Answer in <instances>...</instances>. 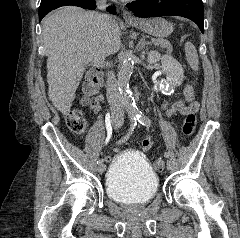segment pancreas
Here are the masks:
<instances>
[{
	"mask_svg": "<svg viewBox=\"0 0 240 238\" xmlns=\"http://www.w3.org/2000/svg\"><path fill=\"white\" fill-rule=\"evenodd\" d=\"M155 42L158 43L162 48L166 49V53L170 54L173 51L172 45L170 44L169 41L165 39H157Z\"/></svg>",
	"mask_w": 240,
	"mask_h": 238,
	"instance_id": "pancreas-1",
	"label": "pancreas"
}]
</instances>
